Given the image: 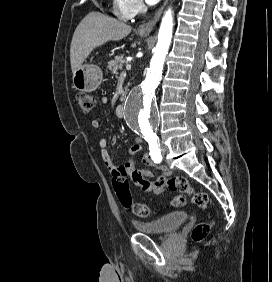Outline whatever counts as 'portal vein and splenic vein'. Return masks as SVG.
I'll list each match as a JSON object with an SVG mask.
<instances>
[{
  "mask_svg": "<svg viewBox=\"0 0 272 282\" xmlns=\"http://www.w3.org/2000/svg\"><path fill=\"white\" fill-rule=\"evenodd\" d=\"M131 69V64H127L126 65V70H130ZM126 72L124 71V72H122V74H125Z\"/></svg>",
  "mask_w": 272,
  "mask_h": 282,
  "instance_id": "portal-vein-and-splenic-vein-1",
  "label": "portal vein and splenic vein"
}]
</instances>
